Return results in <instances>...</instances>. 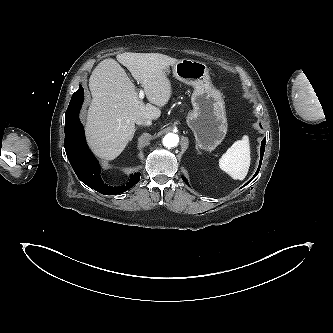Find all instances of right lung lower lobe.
I'll use <instances>...</instances> for the list:
<instances>
[{"label": "right lung lower lobe", "instance_id": "right-lung-lower-lobe-1", "mask_svg": "<svg viewBox=\"0 0 333 333\" xmlns=\"http://www.w3.org/2000/svg\"><path fill=\"white\" fill-rule=\"evenodd\" d=\"M84 90L80 85L67 108L65 114V151L67 158L77 177L90 188L105 194L115 195L133 187L140 179V173L131 176L126 186L112 187L104 184L100 177L98 161L89 150L82 124L79 121V111L83 103Z\"/></svg>", "mask_w": 333, "mask_h": 333}]
</instances>
